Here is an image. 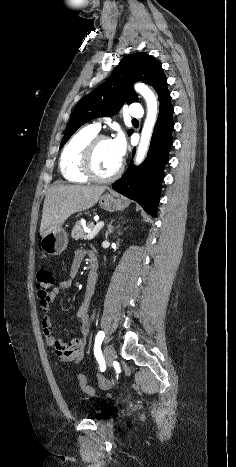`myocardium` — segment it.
Listing matches in <instances>:
<instances>
[{"instance_id": "myocardium-1", "label": "myocardium", "mask_w": 236, "mask_h": 467, "mask_svg": "<svg viewBox=\"0 0 236 467\" xmlns=\"http://www.w3.org/2000/svg\"><path fill=\"white\" fill-rule=\"evenodd\" d=\"M110 140L106 135L94 136L84 147L81 156V170L90 180L96 182H110L116 179L123 170V163L120 161L118 167L108 176L99 175L94 169V155L100 142Z\"/></svg>"}]
</instances>
